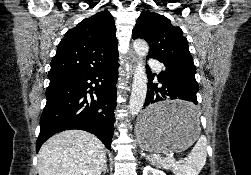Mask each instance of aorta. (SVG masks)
Listing matches in <instances>:
<instances>
[{
	"mask_svg": "<svg viewBox=\"0 0 251 175\" xmlns=\"http://www.w3.org/2000/svg\"><path fill=\"white\" fill-rule=\"evenodd\" d=\"M133 48L137 56V62L134 68L132 91L129 101V111L132 117L140 111L147 93V76L143 58L147 56L149 46L144 40H135Z\"/></svg>",
	"mask_w": 251,
	"mask_h": 175,
	"instance_id": "1",
	"label": "aorta"
}]
</instances>
